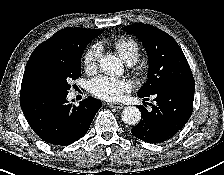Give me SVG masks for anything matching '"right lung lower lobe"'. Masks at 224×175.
<instances>
[{
  "label": "right lung lower lobe",
  "mask_w": 224,
  "mask_h": 175,
  "mask_svg": "<svg viewBox=\"0 0 224 175\" xmlns=\"http://www.w3.org/2000/svg\"><path fill=\"white\" fill-rule=\"evenodd\" d=\"M68 91L25 88L20 92V105L33 131L45 142L69 145L88 131L102 103L92 97L79 106L69 103Z\"/></svg>",
  "instance_id": "1"
}]
</instances>
